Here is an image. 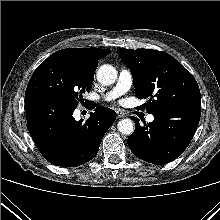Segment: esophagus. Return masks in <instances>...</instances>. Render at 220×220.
<instances>
[{
  "mask_svg": "<svg viewBox=\"0 0 220 220\" xmlns=\"http://www.w3.org/2000/svg\"><path fill=\"white\" fill-rule=\"evenodd\" d=\"M116 114H117V117H118V118H122V117L125 116V113H124L122 110H117V111H116Z\"/></svg>",
  "mask_w": 220,
  "mask_h": 220,
  "instance_id": "obj_1",
  "label": "esophagus"
}]
</instances>
